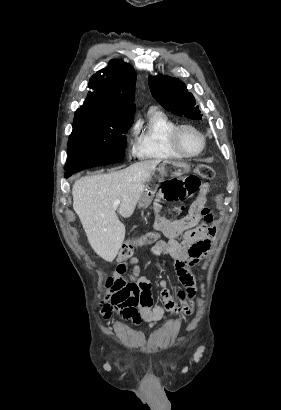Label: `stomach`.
Listing matches in <instances>:
<instances>
[{
  "label": "stomach",
  "mask_w": 281,
  "mask_h": 410,
  "mask_svg": "<svg viewBox=\"0 0 281 410\" xmlns=\"http://www.w3.org/2000/svg\"><path fill=\"white\" fill-rule=\"evenodd\" d=\"M190 166L187 163L174 161V160H164L154 171L151 173L150 177L147 179L145 189L141 195L138 202L139 208H147L159 187V184L163 181L165 176H181L189 172Z\"/></svg>",
  "instance_id": "obj_1"
}]
</instances>
